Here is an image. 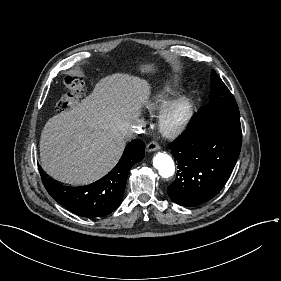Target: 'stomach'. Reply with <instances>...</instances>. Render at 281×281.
<instances>
[{
  "instance_id": "stomach-1",
  "label": "stomach",
  "mask_w": 281,
  "mask_h": 281,
  "mask_svg": "<svg viewBox=\"0 0 281 281\" xmlns=\"http://www.w3.org/2000/svg\"><path fill=\"white\" fill-rule=\"evenodd\" d=\"M134 69L142 75H153L159 72L158 65L153 62H139Z\"/></svg>"
}]
</instances>
